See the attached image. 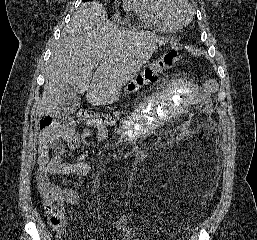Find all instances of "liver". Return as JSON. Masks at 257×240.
Returning <instances> with one entry per match:
<instances>
[{"instance_id": "1", "label": "liver", "mask_w": 257, "mask_h": 240, "mask_svg": "<svg viewBox=\"0 0 257 240\" xmlns=\"http://www.w3.org/2000/svg\"><path fill=\"white\" fill-rule=\"evenodd\" d=\"M164 43V38L149 32L109 24L99 2L81 4L52 50L39 116L56 113L67 84L77 95L87 92L86 99L94 106L117 101L120 89Z\"/></svg>"}]
</instances>
